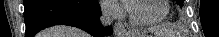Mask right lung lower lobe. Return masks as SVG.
I'll return each instance as SVG.
<instances>
[{
	"mask_svg": "<svg viewBox=\"0 0 219 37\" xmlns=\"http://www.w3.org/2000/svg\"><path fill=\"white\" fill-rule=\"evenodd\" d=\"M96 0H24L25 37L58 24L79 27L93 36L110 35L112 28L99 22Z\"/></svg>",
	"mask_w": 219,
	"mask_h": 37,
	"instance_id": "98d812e1",
	"label": "right lung lower lobe"
}]
</instances>
